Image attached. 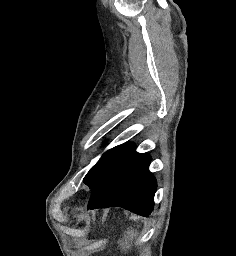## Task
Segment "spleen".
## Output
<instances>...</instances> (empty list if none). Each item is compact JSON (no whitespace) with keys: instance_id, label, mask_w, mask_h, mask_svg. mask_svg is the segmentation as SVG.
Returning <instances> with one entry per match:
<instances>
[{"instance_id":"spleen-1","label":"spleen","mask_w":236,"mask_h":256,"mask_svg":"<svg viewBox=\"0 0 236 256\" xmlns=\"http://www.w3.org/2000/svg\"><path fill=\"white\" fill-rule=\"evenodd\" d=\"M138 236L137 230H133V228H128V232H124V238H121L119 240L118 244L124 252H127V250H130L131 244L133 240H136Z\"/></svg>"}]
</instances>
